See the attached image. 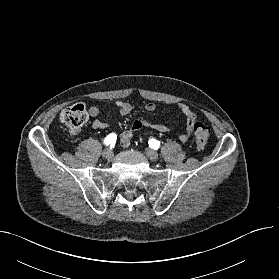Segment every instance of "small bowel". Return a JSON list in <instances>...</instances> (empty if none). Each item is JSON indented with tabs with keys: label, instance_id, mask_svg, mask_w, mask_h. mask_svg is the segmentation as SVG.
<instances>
[{
	"label": "small bowel",
	"instance_id": "c3829d8e",
	"mask_svg": "<svg viewBox=\"0 0 279 279\" xmlns=\"http://www.w3.org/2000/svg\"><path fill=\"white\" fill-rule=\"evenodd\" d=\"M115 105L121 116H126L134 110V105H132L129 102L117 101ZM175 107L184 117L185 131L179 135L180 141L184 143V142H187L191 136L193 127L197 120V115H196V112L189 105H187L185 103H182V102L177 103L175 105ZM141 108L144 109L145 111L153 112L156 110V105L153 103H147L144 106H142ZM99 113H100V110L97 106H91L89 108V115L92 118H97ZM91 127L93 129H106L108 127V125H107V123H105L101 120L95 119L91 123ZM143 127H150L160 133H169L170 132V127L167 124L153 123L147 119L138 118L132 123L131 128L129 130L122 133L121 140H120L121 145L123 147H127L130 144V141H131L134 133L139 131Z\"/></svg>",
	"mask_w": 279,
	"mask_h": 279
}]
</instances>
